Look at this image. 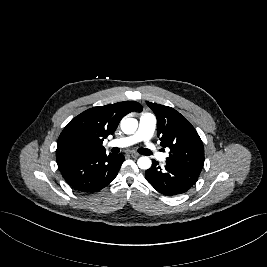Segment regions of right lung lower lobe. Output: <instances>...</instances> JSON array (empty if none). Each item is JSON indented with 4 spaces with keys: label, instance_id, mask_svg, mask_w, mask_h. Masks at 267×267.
I'll return each mask as SVG.
<instances>
[{
    "label": "right lung lower lobe",
    "instance_id": "obj_1",
    "mask_svg": "<svg viewBox=\"0 0 267 267\" xmlns=\"http://www.w3.org/2000/svg\"><path fill=\"white\" fill-rule=\"evenodd\" d=\"M124 159L122 154L94 152L57 158V165L71 187L91 193L106 187L117 176Z\"/></svg>",
    "mask_w": 267,
    "mask_h": 267
}]
</instances>
